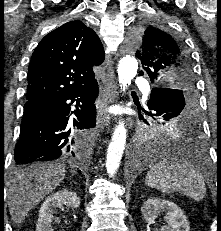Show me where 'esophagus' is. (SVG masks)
Wrapping results in <instances>:
<instances>
[{
	"instance_id": "1",
	"label": "esophagus",
	"mask_w": 221,
	"mask_h": 231,
	"mask_svg": "<svg viewBox=\"0 0 221 231\" xmlns=\"http://www.w3.org/2000/svg\"><path fill=\"white\" fill-rule=\"evenodd\" d=\"M104 85L102 102L98 113V120L102 126L107 127L110 124L111 119L108 108L117 97V82L113 69V61L110 56L108 57L106 80Z\"/></svg>"
}]
</instances>
